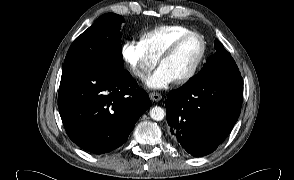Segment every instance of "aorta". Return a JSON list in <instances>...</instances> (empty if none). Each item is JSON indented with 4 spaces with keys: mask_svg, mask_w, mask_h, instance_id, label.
Masks as SVG:
<instances>
[{
    "mask_svg": "<svg viewBox=\"0 0 294 180\" xmlns=\"http://www.w3.org/2000/svg\"><path fill=\"white\" fill-rule=\"evenodd\" d=\"M165 116V111L159 106H155L150 110V117L155 121L163 120Z\"/></svg>",
    "mask_w": 294,
    "mask_h": 180,
    "instance_id": "aorta-1",
    "label": "aorta"
}]
</instances>
